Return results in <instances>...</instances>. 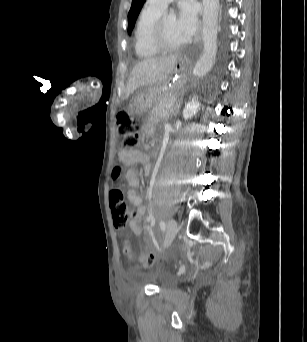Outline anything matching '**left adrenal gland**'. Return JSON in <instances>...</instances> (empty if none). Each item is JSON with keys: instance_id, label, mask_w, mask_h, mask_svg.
<instances>
[{"instance_id": "a2214340", "label": "left adrenal gland", "mask_w": 307, "mask_h": 342, "mask_svg": "<svg viewBox=\"0 0 307 342\" xmlns=\"http://www.w3.org/2000/svg\"><path fill=\"white\" fill-rule=\"evenodd\" d=\"M181 104H182V100H178V102H175L171 110L170 118H173V116H178V112L180 110Z\"/></svg>"}]
</instances>
